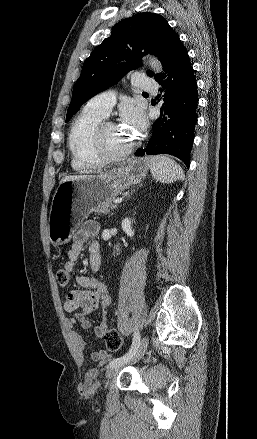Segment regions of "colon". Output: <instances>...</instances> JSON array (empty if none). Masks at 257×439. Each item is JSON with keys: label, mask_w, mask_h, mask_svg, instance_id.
I'll return each instance as SVG.
<instances>
[{"label": "colon", "mask_w": 257, "mask_h": 439, "mask_svg": "<svg viewBox=\"0 0 257 439\" xmlns=\"http://www.w3.org/2000/svg\"><path fill=\"white\" fill-rule=\"evenodd\" d=\"M56 278L57 282L60 286H67L70 281V275L69 273L62 269H59L56 272ZM104 342L106 344V347L110 351H117L119 350L123 345V339L119 332L115 329H108L103 335Z\"/></svg>", "instance_id": "1"}]
</instances>
